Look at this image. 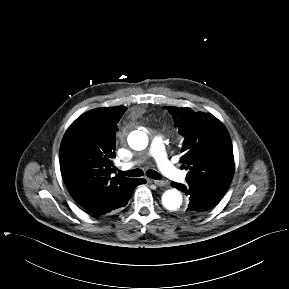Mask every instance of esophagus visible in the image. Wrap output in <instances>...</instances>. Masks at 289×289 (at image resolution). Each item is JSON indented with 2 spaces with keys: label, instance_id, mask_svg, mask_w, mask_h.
<instances>
[{
  "label": "esophagus",
  "instance_id": "34e87169",
  "mask_svg": "<svg viewBox=\"0 0 289 289\" xmlns=\"http://www.w3.org/2000/svg\"><path fill=\"white\" fill-rule=\"evenodd\" d=\"M152 182L159 186V187H162V186H165L166 185V182L162 181V180H152Z\"/></svg>",
  "mask_w": 289,
  "mask_h": 289
}]
</instances>
